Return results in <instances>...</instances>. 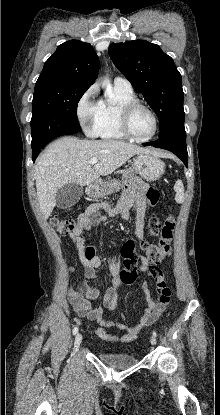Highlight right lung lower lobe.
Masks as SVG:
<instances>
[{"label":"right lung lower lobe","mask_w":220,"mask_h":415,"mask_svg":"<svg viewBox=\"0 0 220 415\" xmlns=\"http://www.w3.org/2000/svg\"><path fill=\"white\" fill-rule=\"evenodd\" d=\"M41 149L42 148L34 149L33 150V153H32V160H33V162H35V159L37 158V156H38L39 152L41 151Z\"/></svg>","instance_id":"1"}]
</instances>
